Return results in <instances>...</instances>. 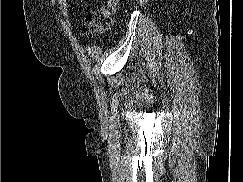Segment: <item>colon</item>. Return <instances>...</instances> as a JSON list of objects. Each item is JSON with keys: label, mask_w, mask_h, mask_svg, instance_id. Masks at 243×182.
Here are the masks:
<instances>
[{"label": "colon", "mask_w": 243, "mask_h": 182, "mask_svg": "<svg viewBox=\"0 0 243 182\" xmlns=\"http://www.w3.org/2000/svg\"><path fill=\"white\" fill-rule=\"evenodd\" d=\"M118 4L119 0H107L101 7L89 11L84 20V33L93 35L108 29L113 23Z\"/></svg>", "instance_id": "colon-1"}]
</instances>
